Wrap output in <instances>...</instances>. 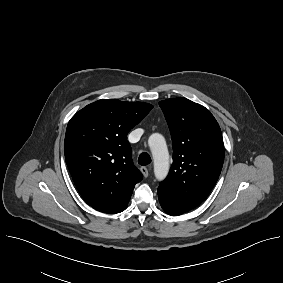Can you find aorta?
<instances>
[{"label":"aorta","instance_id":"aorta-1","mask_svg":"<svg viewBox=\"0 0 283 283\" xmlns=\"http://www.w3.org/2000/svg\"><path fill=\"white\" fill-rule=\"evenodd\" d=\"M149 147L154 160V174L157 180L162 181L169 172V153L164 137L154 133L149 137Z\"/></svg>","mask_w":283,"mask_h":283}]
</instances>
